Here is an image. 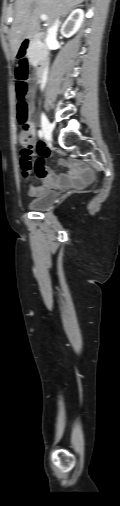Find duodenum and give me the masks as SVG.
Listing matches in <instances>:
<instances>
[{
  "mask_svg": "<svg viewBox=\"0 0 120 506\" xmlns=\"http://www.w3.org/2000/svg\"><path fill=\"white\" fill-rule=\"evenodd\" d=\"M44 35L43 33L37 32L27 38H25L22 42V44L18 47V56L20 58H25L27 56V52L29 47L34 44L38 43L43 39ZM47 60L44 59L42 61H39L36 63V68L39 76H42L45 68H46Z\"/></svg>",
  "mask_w": 120,
  "mask_h": 506,
  "instance_id": "1",
  "label": "duodenum"
}]
</instances>
